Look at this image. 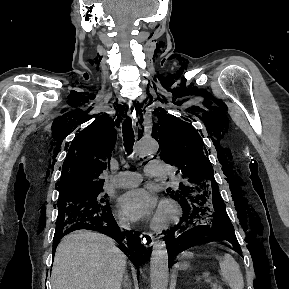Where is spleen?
<instances>
[{
	"label": "spleen",
	"instance_id": "spleen-1",
	"mask_svg": "<svg viewBox=\"0 0 289 289\" xmlns=\"http://www.w3.org/2000/svg\"><path fill=\"white\" fill-rule=\"evenodd\" d=\"M219 267L223 280L229 285L231 289L244 288L243 275L241 273L239 264L230 254H225L221 258Z\"/></svg>",
	"mask_w": 289,
	"mask_h": 289
}]
</instances>
